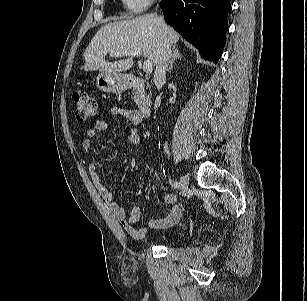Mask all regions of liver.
Here are the masks:
<instances>
[{
	"instance_id": "1",
	"label": "liver",
	"mask_w": 307,
	"mask_h": 301,
	"mask_svg": "<svg viewBox=\"0 0 307 301\" xmlns=\"http://www.w3.org/2000/svg\"><path fill=\"white\" fill-rule=\"evenodd\" d=\"M180 35L169 27L161 17L149 13L134 19L115 21L104 25L95 34L84 52V70L120 73L133 66V58L106 61L113 52L141 50L144 57L157 65L164 40L176 44Z\"/></svg>"
}]
</instances>
